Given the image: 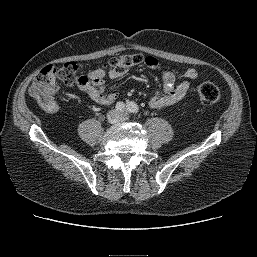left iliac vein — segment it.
Returning <instances> with one entry per match:
<instances>
[{"instance_id": "4c4485c4", "label": "left iliac vein", "mask_w": 257, "mask_h": 257, "mask_svg": "<svg viewBox=\"0 0 257 257\" xmlns=\"http://www.w3.org/2000/svg\"><path fill=\"white\" fill-rule=\"evenodd\" d=\"M123 116H124V118H125V119H127V118H128V116H127V114H126V113H124V114H123Z\"/></svg>"}]
</instances>
